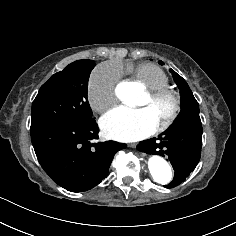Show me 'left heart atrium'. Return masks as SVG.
Segmentation results:
<instances>
[{"label": "left heart atrium", "mask_w": 236, "mask_h": 236, "mask_svg": "<svg viewBox=\"0 0 236 236\" xmlns=\"http://www.w3.org/2000/svg\"><path fill=\"white\" fill-rule=\"evenodd\" d=\"M103 133L110 139L132 142L147 137L154 131V122L148 109L115 107L100 120Z\"/></svg>", "instance_id": "obj_1"}]
</instances>
